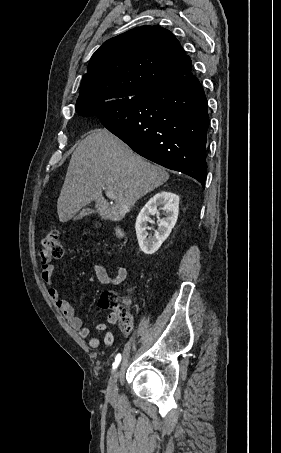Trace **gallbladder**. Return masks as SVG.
Returning a JSON list of instances; mask_svg holds the SVG:
<instances>
[{
	"label": "gallbladder",
	"mask_w": 281,
	"mask_h": 453,
	"mask_svg": "<svg viewBox=\"0 0 281 453\" xmlns=\"http://www.w3.org/2000/svg\"><path fill=\"white\" fill-rule=\"evenodd\" d=\"M92 212H94V210H90V208H83L80 214H77V216H75V220H78V218H82V216H86V214H92Z\"/></svg>",
	"instance_id": "1"
}]
</instances>
